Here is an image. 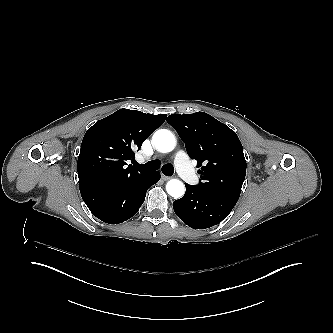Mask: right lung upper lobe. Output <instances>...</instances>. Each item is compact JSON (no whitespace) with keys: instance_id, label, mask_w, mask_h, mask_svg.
I'll list each match as a JSON object with an SVG mask.
<instances>
[{"instance_id":"cb5924a9","label":"right lung upper lobe","mask_w":333,"mask_h":333,"mask_svg":"<svg viewBox=\"0 0 333 333\" xmlns=\"http://www.w3.org/2000/svg\"><path fill=\"white\" fill-rule=\"evenodd\" d=\"M166 116L120 109L97 121L87 130L81 143L77 162L79 183L114 182L141 172L132 165L127 167L126 161H134L133 148L140 149Z\"/></svg>"}]
</instances>
